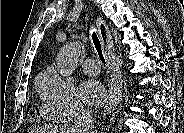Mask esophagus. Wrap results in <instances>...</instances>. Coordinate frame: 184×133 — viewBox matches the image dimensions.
<instances>
[{
    "instance_id": "obj_1",
    "label": "esophagus",
    "mask_w": 184,
    "mask_h": 133,
    "mask_svg": "<svg viewBox=\"0 0 184 133\" xmlns=\"http://www.w3.org/2000/svg\"><path fill=\"white\" fill-rule=\"evenodd\" d=\"M96 27H97V33L102 45V49L104 50L107 56L110 67L113 68L114 60H113V53L111 49L112 41H111V35L109 33L108 27L106 26L105 22L101 18H98L96 20ZM112 107H113L112 100L109 99L106 105V110L110 111Z\"/></svg>"
}]
</instances>
